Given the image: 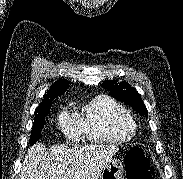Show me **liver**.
Wrapping results in <instances>:
<instances>
[{
    "mask_svg": "<svg viewBox=\"0 0 183 179\" xmlns=\"http://www.w3.org/2000/svg\"><path fill=\"white\" fill-rule=\"evenodd\" d=\"M117 151L115 145L69 148L61 144L48 152L36 143L28 149L19 179H98Z\"/></svg>",
    "mask_w": 183,
    "mask_h": 179,
    "instance_id": "obj_1",
    "label": "liver"
}]
</instances>
